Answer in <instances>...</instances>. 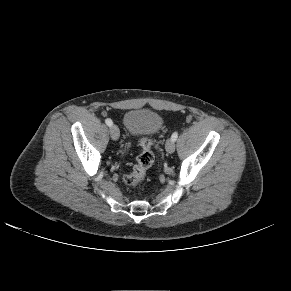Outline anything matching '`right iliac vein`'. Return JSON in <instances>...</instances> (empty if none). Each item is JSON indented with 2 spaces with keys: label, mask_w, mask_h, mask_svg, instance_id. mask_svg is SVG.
Instances as JSON below:
<instances>
[{
  "label": "right iliac vein",
  "mask_w": 291,
  "mask_h": 291,
  "mask_svg": "<svg viewBox=\"0 0 291 291\" xmlns=\"http://www.w3.org/2000/svg\"><path fill=\"white\" fill-rule=\"evenodd\" d=\"M110 135L113 140H118L120 136L119 128L116 125L110 127Z\"/></svg>",
  "instance_id": "obj_1"
}]
</instances>
